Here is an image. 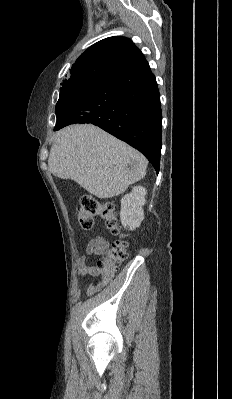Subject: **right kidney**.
Here are the masks:
<instances>
[{
  "label": "right kidney",
  "instance_id": "right-kidney-1",
  "mask_svg": "<svg viewBox=\"0 0 232 399\" xmlns=\"http://www.w3.org/2000/svg\"><path fill=\"white\" fill-rule=\"evenodd\" d=\"M146 188L135 186L131 194H126L121 200L120 219L124 227L136 229L139 227L143 217Z\"/></svg>",
  "mask_w": 232,
  "mask_h": 399
}]
</instances>
